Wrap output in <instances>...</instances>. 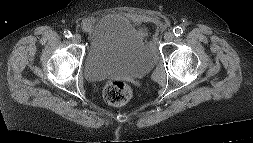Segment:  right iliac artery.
<instances>
[{
    "label": "right iliac artery",
    "mask_w": 253,
    "mask_h": 143,
    "mask_svg": "<svg viewBox=\"0 0 253 143\" xmlns=\"http://www.w3.org/2000/svg\"><path fill=\"white\" fill-rule=\"evenodd\" d=\"M64 35L66 38H71L72 37V33L70 31H65Z\"/></svg>",
    "instance_id": "right-iliac-artery-1"
}]
</instances>
